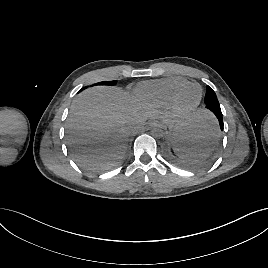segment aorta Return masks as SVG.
Wrapping results in <instances>:
<instances>
[{
	"label": "aorta",
	"instance_id": "aorta-1",
	"mask_svg": "<svg viewBox=\"0 0 268 268\" xmlns=\"http://www.w3.org/2000/svg\"><path fill=\"white\" fill-rule=\"evenodd\" d=\"M151 135L154 137V138H161L164 136V129L161 128V127H156L154 129H152L151 131Z\"/></svg>",
	"mask_w": 268,
	"mask_h": 268
}]
</instances>
